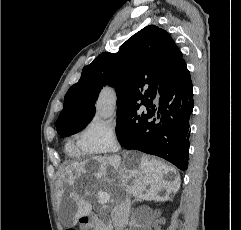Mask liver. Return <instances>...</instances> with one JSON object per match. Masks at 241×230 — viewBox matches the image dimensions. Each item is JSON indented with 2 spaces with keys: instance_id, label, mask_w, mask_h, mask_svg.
Here are the masks:
<instances>
[{
  "instance_id": "liver-1",
  "label": "liver",
  "mask_w": 241,
  "mask_h": 230,
  "mask_svg": "<svg viewBox=\"0 0 241 230\" xmlns=\"http://www.w3.org/2000/svg\"><path fill=\"white\" fill-rule=\"evenodd\" d=\"M92 160L97 164L95 169L89 170L87 161L75 162L66 169L69 186H74L75 180L85 175L94 176V184L89 188L85 187V196L94 194L95 190L107 184L110 187L107 194L116 205L123 201L125 192L136 199L164 202L170 199L171 193L177 192L180 188V176L174 167L138 152H125L123 157L94 156ZM109 167L113 168L111 174L108 173ZM169 173L173 180L168 181L164 178V175ZM130 180L132 183L129 185ZM163 190L165 195L161 196L160 192ZM69 196L77 207L74 215L76 223L79 218L91 213L92 205L75 191L70 192Z\"/></svg>"
}]
</instances>
